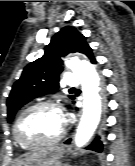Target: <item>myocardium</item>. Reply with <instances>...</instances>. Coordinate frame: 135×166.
Wrapping results in <instances>:
<instances>
[{"mask_svg": "<svg viewBox=\"0 0 135 166\" xmlns=\"http://www.w3.org/2000/svg\"><path fill=\"white\" fill-rule=\"evenodd\" d=\"M41 108H53L55 110H57L58 112L61 113L62 117H63V108L62 106L55 102V101H42V102H38L34 105H31L29 107H27L26 109H24L19 116L17 117L14 126H13V137L15 139V141L22 147L24 148H40V147H45V146H52V145H56L58 144L64 137L65 135V125H63V128L60 132V134L52 139V140H47V141H40V142H29L26 141L24 139L21 138V136L19 135V125L22 121V119L31 111L37 110V109H41ZM64 119V118H63Z\"/></svg>", "mask_w": 135, "mask_h": 166, "instance_id": "myocardium-1", "label": "myocardium"}]
</instances>
